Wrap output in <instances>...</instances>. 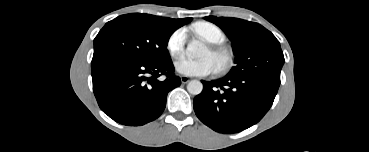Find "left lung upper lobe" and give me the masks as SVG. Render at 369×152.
I'll return each mask as SVG.
<instances>
[{
	"mask_svg": "<svg viewBox=\"0 0 369 152\" xmlns=\"http://www.w3.org/2000/svg\"><path fill=\"white\" fill-rule=\"evenodd\" d=\"M219 26L232 42L235 66L229 76H267L280 79L284 56L279 41L258 23L230 17L204 18Z\"/></svg>",
	"mask_w": 369,
	"mask_h": 152,
	"instance_id": "left-lung-upper-lobe-1",
	"label": "left lung upper lobe"
}]
</instances>
